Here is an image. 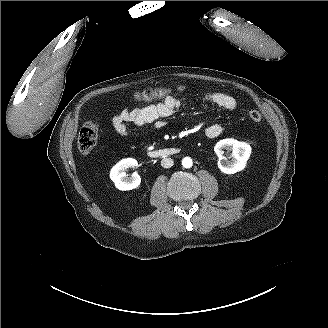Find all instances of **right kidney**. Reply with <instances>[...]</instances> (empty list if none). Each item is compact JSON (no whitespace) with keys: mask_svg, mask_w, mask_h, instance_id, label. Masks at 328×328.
Listing matches in <instances>:
<instances>
[{"mask_svg":"<svg viewBox=\"0 0 328 328\" xmlns=\"http://www.w3.org/2000/svg\"><path fill=\"white\" fill-rule=\"evenodd\" d=\"M138 165L134 158H125L116 163L110 170L109 177L115 187L121 191L133 190L140 186L141 179L138 174H133V179L129 180L126 177L125 171L133 169Z\"/></svg>","mask_w":328,"mask_h":328,"instance_id":"ca27d5eb","label":"right kidney"}]
</instances>
